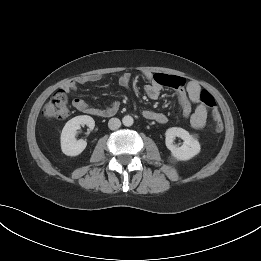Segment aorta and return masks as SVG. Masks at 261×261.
Returning <instances> with one entry per match:
<instances>
[{"label": "aorta", "mask_w": 261, "mask_h": 261, "mask_svg": "<svg viewBox=\"0 0 261 261\" xmlns=\"http://www.w3.org/2000/svg\"><path fill=\"white\" fill-rule=\"evenodd\" d=\"M133 122H134L133 118L129 115H126L122 118V123L124 124V126L127 127L132 126Z\"/></svg>", "instance_id": "762f6f07"}]
</instances>
